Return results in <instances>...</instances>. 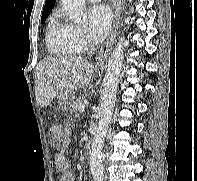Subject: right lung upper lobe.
Segmentation results:
<instances>
[{"label": "right lung upper lobe", "instance_id": "cb5924a9", "mask_svg": "<svg viewBox=\"0 0 197 181\" xmlns=\"http://www.w3.org/2000/svg\"><path fill=\"white\" fill-rule=\"evenodd\" d=\"M55 2L56 0H46L42 16L50 13V11L55 5Z\"/></svg>", "mask_w": 197, "mask_h": 181}]
</instances>
